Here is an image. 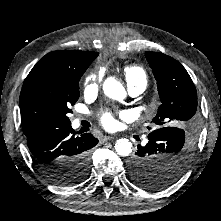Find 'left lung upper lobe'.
Masks as SVG:
<instances>
[{
  "mask_svg": "<svg viewBox=\"0 0 221 221\" xmlns=\"http://www.w3.org/2000/svg\"><path fill=\"white\" fill-rule=\"evenodd\" d=\"M145 56L156 78L162 103L153 118L160 128L151 132L148 138L166 127V130L175 131L176 138H161L156 144H147L142 156L149 170L155 169L169 178L162 179L156 187L149 184L148 177L133 176L132 180L143 188L159 189L176 181L190 162L199 123L197 92L178 61L158 52H146Z\"/></svg>",
  "mask_w": 221,
  "mask_h": 221,
  "instance_id": "obj_1",
  "label": "left lung upper lobe"
}]
</instances>
